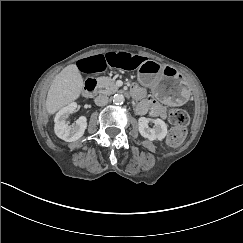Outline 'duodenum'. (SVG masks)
<instances>
[{"label":"duodenum","mask_w":243,"mask_h":243,"mask_svg":"<svg viewBox=\"0 0 243 243\" xmlns=\"http://www.w3.org/2000/svg\"><path fill=\"white\" fill-rule=\"evenodd\" d=\"M97 88V81L93 78H90L86 81L84 90H83V95L85 98H91Z\"/></svg>","instance_id":"1"}]
</instances>
